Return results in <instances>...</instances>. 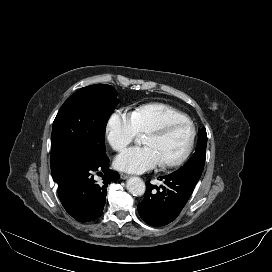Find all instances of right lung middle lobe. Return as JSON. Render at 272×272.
<instances>
[{"mask_svg": "<svg viewBox=\"0 0 272 272\" xmlns=\"http://www.w3.org/2000/svg\"><path fill=\"white\" fill-rule=\"evenodd\" d=\"M118 104L106 84L83 87L60 108L51 135V172L56 176L83 160L106 155L105 129Z\"/></svg>", "mask_w": 272, "mask_h": 272, "instance_id": "right-lung-middle-lobe-1", "label": "right lung middle lobe"}]
</instances>
